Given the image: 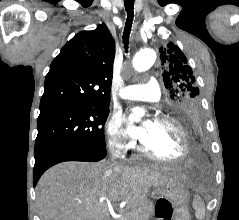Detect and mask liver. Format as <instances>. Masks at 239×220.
I'll return each instance as SVG.
<instances>
[{
  "label": "liver",
  "mask_w": 239,
  "mask_h": 220,
  "mask_svg": "<svg viewBox=\"0 0 239 220\" xmlns=\"http://www.w3.org/2000/svg\"><path fill=\"white\" fill-rule=\"evenodd\" d=\"M183 174H161L107 161H69L47 170L36 187L41 220H109L108 201L144 206L150 188L187 183Z\"/></svg>",
  "instance_id": "6515ba94"
}]
</instances>
